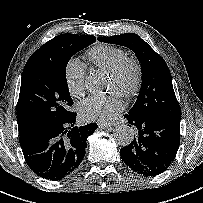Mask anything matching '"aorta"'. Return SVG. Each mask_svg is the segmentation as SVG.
Segmentation results:
<instances>
[{
  "label": "aorta",
  "instance_id": "1",
  "mask_svg": "<svg viewBox=\"0 0 203 203\" xmlns=\"http://www.w3.org/2000/svg\"><path fill=\"white\" fill-rule=\"evenodd\" d=\"M96 81L92 76H89L86 81V86L93 89L96 86ZM134 138V130L126 124L118 125L114 131V139L120 146H128Z\"/></svg>",
  "mask_w": 203,
  "mask_h": 203
}]
</instances>
